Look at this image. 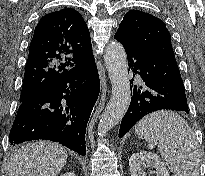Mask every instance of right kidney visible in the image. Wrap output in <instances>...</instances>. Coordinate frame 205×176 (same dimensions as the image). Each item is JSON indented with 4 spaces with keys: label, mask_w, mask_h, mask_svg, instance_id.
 I'll return each instance as SVG.
<instances>
[{
    "label": "right kidney",
    "mask_w": 205,
    "mask_h": 176,
    "mask_svg": "<svg viewBox=\"0 0 205 176\" xmlns=\"http://www.w3.org/2000/svg\"><path fill=\"white\" fill-rule=\"evenodd\" d=\"M60 176H76V175L74 173H72V172H67V173L62 174Z\"/></svg>",
    "instance_id": "right-kidney-1"
}]
</instances>
